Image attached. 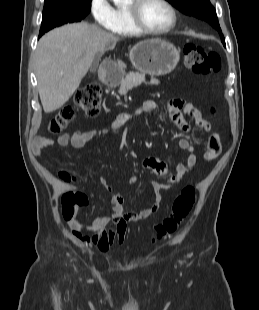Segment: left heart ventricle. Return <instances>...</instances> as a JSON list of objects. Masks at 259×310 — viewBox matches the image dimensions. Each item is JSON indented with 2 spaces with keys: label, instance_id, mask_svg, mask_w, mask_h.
Returning a JSON list of instances; mask_svg holds the SVG:
<instances>
[{
  "label": "left heart ventricle",
  "instance_id": "obj_1",
  "mask_svg": "<svg viewBox=\"0 0 259 310\" xmlns=\"http://www.w3.org/2000/svg\"><path fill=\"white\" fill-rule=\"evenodd\" d=\"M141 19L147 27L160 30L171 23L172 16L159 0H147L141 10Z\"/></svg>",
  "mask_w": 259,
  "mask_h": 310
}]
</instances>
